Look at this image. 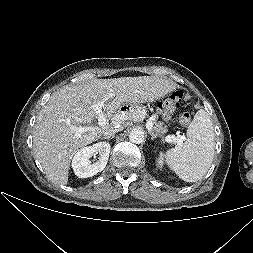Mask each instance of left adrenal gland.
Returning <instances> with one entry per match:
<instances>
[{
  "label": "left adrenal gland",
  "mask_w": 253,
  "mask_h": 253,
  "mask_svg": "<svg viewBox=\"0 0 253 253\" xmlns=\"http://www.w3.org/2000/svg\"><path fill=\"white\" fill-rule=\"evenodd\" d=\"M149 134L151 135V140H154L158 136V135L154 134L152 131H150Z\"/></svg>",
  "instance_id": "a2214340"
}]
</instances>
